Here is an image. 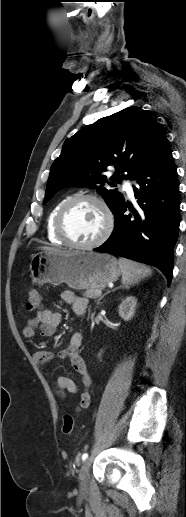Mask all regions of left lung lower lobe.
<instances>
[{
    "mask_svg": "<svg viewBox=\"0 0 186 517\" xmlns=\"http://www.w3.org/2000/svg\"><path fill=\"white\" fill-rule=\"evenodd\" d=\"M138 206L124 203L115 213L110 238L95 251L112 253L159 268L170 284L179 230V183L167 138L133 174ZM127 207L132 214L125 215Z\"/></svg>",
    "mask_w": 186,
    "mask_h": 517,
    "instance_id": "0a47b994",
    "label": "left lung lower lobe"
}]
</instances>
